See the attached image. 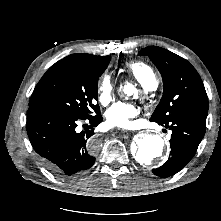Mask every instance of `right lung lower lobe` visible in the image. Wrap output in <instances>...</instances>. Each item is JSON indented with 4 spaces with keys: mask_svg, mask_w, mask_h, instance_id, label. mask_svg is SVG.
<instances>
[{
    "mask_svg": "<svg viewBox=\"0 0 221 221\" xmlns=\"http://www.w3.org/2000/svg\"><path fill=\"white\" fill-rule=\"evenodd\" d=\"M89 122L90 128L102 122L96 115L81 119L72 114L31 106L27 114V134L42 164L59 177H75L93 166V132L76 131L77 123Z\"/></svg>",
    "mask_w": 221,
    "mask_h": 221,
    "instance_id": "1",
    "label": "right lung lower lobe"
}]
</instances>
